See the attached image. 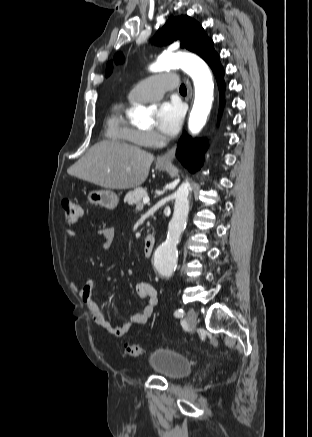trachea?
<instances>
[{
	"mask_svg": "<svg viewBox=\"0 0 312 437\" xmlns=\"http://www.w3.org/2000/svg\"><path fill=\"white\" fill-rule=\"evenodd\" d=\"M180 93H187V89L184 84L180 86Z\"/></svg>",
	"mask_w": 312,
	"mask_h": 437,
	"instance_id": "trachea-1",
	"label": "trachea"
}]
</instances>
